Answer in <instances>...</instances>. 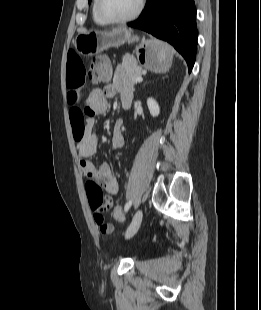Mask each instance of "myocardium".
Instances as JSON below:
<instances>
[{
	"mask_svg": "<svg viewBox=\"0 0 261 310\" xmlns=\"http://www.w3.org/2000/svg\"><path fill=\"white\" fill-rule=\"evenodd\" d=\"M145 0H138V4L136 9L130 15L123 18H111L106 16L101 10V0H94V7L96 14L98 17L107 24H124L131 22L139 17L143 8H144Z\"/></svg>",
	"mask_w": 261,
	"mask_h": 310,
	"instance_id": "myocardium-1",
	"label": "myocardium"
}]
</instances>
